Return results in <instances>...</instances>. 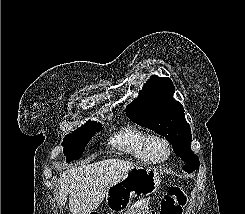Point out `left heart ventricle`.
I'll use <instances>...</instances> for the list:
<instances>
[{
  "instance_id": "b2bd125f",
  "label": "left heart ventricle",
  "mask_w": 245,
  "mask_h": 214,
  "mask_svg": "<svg viewBox=\"0 0 245 214\" xmlns=\"http://www.w3.org/2000/svg\"><path fill=\"white\" fill-rule=\"evenodd\" d=\"M149 151L151 157L154 159H162L167 154L166 147L160 141H153L150 145Z\"/></svg>"
}]
</instances>
